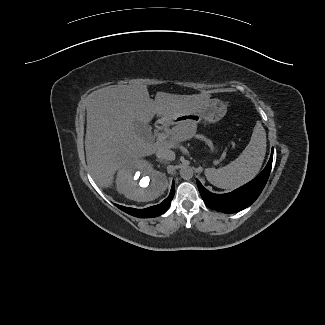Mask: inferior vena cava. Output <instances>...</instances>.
Listing matches in <instances>:
<instances>
[{
  "mask_svg": "<svg viewBox=\"0 0 325 325\" xmlns=\"http://www.w3.org/2000/svg\"><path fill=\"white\" fill-rule=\"evenodd\" d=\"M156 156L163 160L172 161L175 159V153L172 150L161 148L156 151Z\"/></svg>",
  "mask_w": 325,
  "mask_h": 325,
  "instance_id": "inferior-vena-cava-1",
  "label": "inferior vena cava"
}]
</instances>
